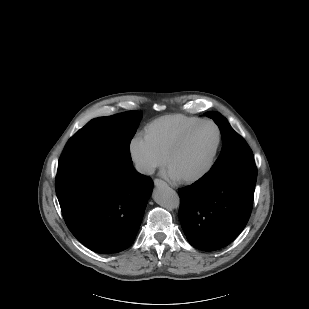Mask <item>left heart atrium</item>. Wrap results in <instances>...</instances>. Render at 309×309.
Wrapping results in <instances>:
<instances>
[{
	"instance_id": "left-heart-atrium-1",
	"label": "left heart atrium",
	"mask_w": 309,
	"mask_h": 309,
	"mask_svg": "<svg viewBox=\"0 0 309 309\" xmlns=\"http://www.w3.org/2000/svg\"><path fill=\"white\" fill-rule=\"evenodd\" d=\"M163 176L172 181L179 180V176L169 166L163 170Z\"/></svg>"
}]
</instances>
